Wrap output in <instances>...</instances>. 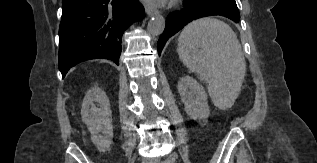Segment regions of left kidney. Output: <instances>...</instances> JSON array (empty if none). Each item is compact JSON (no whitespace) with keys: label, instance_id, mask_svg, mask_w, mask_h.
I'll list each match as a JSON object with an SVG mask.
<instances>
[{"label":"left kidney","instance_id":"1","mask_svg":"<svg viewBox=\"0 0 317 163\" xmlns=\"http://www.w3.org/2000/svg\"><path fill=\"white\" fill-rule=\"evenodd\" d=\"M177 88L187 115L193 120L205 121L210 111L204 88L190 76L181 78Z\"/></svg>","mask_w":317,"mask_h":163}]
</instances>
